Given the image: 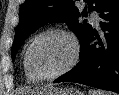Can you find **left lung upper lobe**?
Returning <instances> with one entry per match:
<instances>
[{"label":"left lung upper lobe","instance_id":"left-lung-upper-lobe-1","mask_svg":"<svg viewBox=\"0 0 119 95\" xmlns=\"http://www.w3.org/2000/svg\"><path fill=\"white\" fill-rule=\"evenodd\" d=\"M106 0H84L88 11H97ZM76 0H26L22 5L16 28L14 43L11 49L12 61L15 54L27 37L39 27L50 22H67L69 28L78 36L80 43L92 28L78 18L86 16V8L79 13L75 6Z\"/></svg>","mask_w":119,"mask_h":95}]
</instances>
